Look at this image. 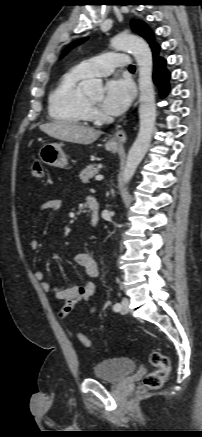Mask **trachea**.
I'll use <instances>...</instances> for the list:
<instances>
[{"label": "trachea", "instance_id": "obj_1", "mask_svg": "<svg viewBox=\"0 0 202 437\" xmlns=\"http://www.w3.org/2000/svg\"><path fill=\"white\" fill-rule=\"evenodd\" d=\"M129 70H135V66H134V65H131V66L129 67Z\"/></svg>", "mask_w": 202, "mask_h": 437}]
</instances>
